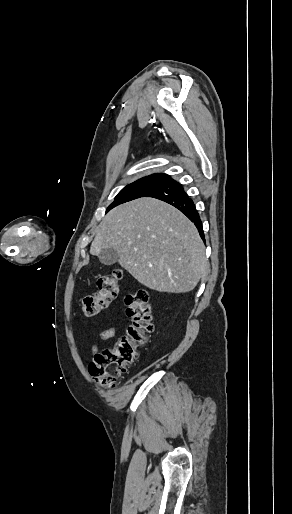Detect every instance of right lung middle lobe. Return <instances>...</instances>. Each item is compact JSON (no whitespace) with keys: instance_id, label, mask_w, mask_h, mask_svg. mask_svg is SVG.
Masks as SVG:
<instances>
[{"instance_id":"1","label":"right lung middle lobe","mask_w":292,"mask_h":514,"mask_svg":"<svg viewBox=\"0 0 292 514\" xmlns=\"http://www.w3.org/2000/svg\"><path fill=\"white\" fill-rule=\"evenodd\" d=\"M168 175L156 173L149 176H145L141 179H138L137 181L127 185L124 187L115 197V200L112 204L108 207L107 211H109L111 208L140 198L142 197L146 192H148L150 189L155 187L157 184L163 182L164 180L168 179Z\"/></svg>"}]
</instances>
